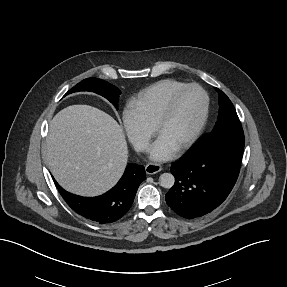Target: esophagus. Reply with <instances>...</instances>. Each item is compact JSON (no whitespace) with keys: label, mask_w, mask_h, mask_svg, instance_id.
Wrapping results in <instances>:
<instances>
[{"label":"esophagus","mask_w":287,"mask_h":287,"mask_svg":"<svg viewBox=\"0 0 287 287\" xmlns=\"http://www.w3.org/2000/svg\"><path fill=\"white\" fill-rule=\"evenodd\" d=\"M161 170H162V166L160 164H157V163H150V164L146 165V167H145V171L149 175L156 174V173L160 172Z\"/></svg>","instance_id":"obj_1"}]
</instances>
